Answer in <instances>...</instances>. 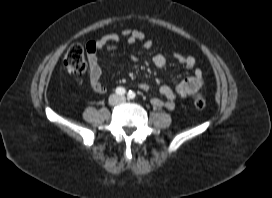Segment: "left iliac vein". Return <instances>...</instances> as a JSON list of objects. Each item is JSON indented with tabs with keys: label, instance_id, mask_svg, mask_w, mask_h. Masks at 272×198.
Returning a JSON list of instances; mask_svg holds the SVG:
<instances>
[{
	"label": "left iliac vein",
	"instance_id": "left-iliac-vein-1",
	"mask_svg": "<svg viewBox=\"0 0 272 198\" xmlns=\"http://www.w3.org/2000/svg\"><path fill=\"white\" fill-rule=\"evenodd\" d=\"M120 100H121L122 102H124V101H125V98H124V97H121Z\"/></svg>",
	"mask_w": 272,
	"mask_h": 198
}]
</instances>
